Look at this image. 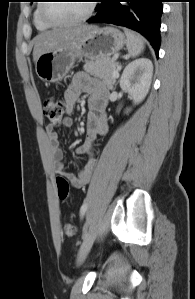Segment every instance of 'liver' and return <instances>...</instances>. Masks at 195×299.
<instances>
[{"label": "liver", "mask_w": 195, "mask_h": 299, "mask_svg": "<svg viewBox=\"0 0 195 299\" xmlns=\"http://www.w3.org/2000/svg\"><path fill=\"white\" fill-rule=\"evenodd\" d=\"M94 26L80 25L58 28L42 32L34 39L33 60L36 63L40 55L53 50L62 49L72 42L81 39Z\"/></svg>", "instance_id": "6515ba94"}]
</instances>
